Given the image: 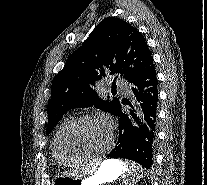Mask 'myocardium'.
Listing matches in <instances>:
<instances>
[{
  "label": "myocardium",
  "mask_w": 207,
  "mask_h": 185,
  "mask_svg": "<svg viewBox=\"0 0 207 185\" xmlns=\"http://www.w3.org/2000/svg\"><path fill=\"white\" fill-rule=\"evenodd\" d=\"M90 120H102V119L96 115H84V116L74 119L66 131L65 145L68 151L74 156L96 158V157H103L107 153V149L103 151H99V152H92V151H88V150H85L79 147L75 143L74 136H75L76 130L82 123L86 121H90ZM109 127L111 131V142H114L116 139V129L111 124H109Z\"/></svg>",
  "instance_id": "f54148a6"
}]
</instances>
